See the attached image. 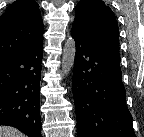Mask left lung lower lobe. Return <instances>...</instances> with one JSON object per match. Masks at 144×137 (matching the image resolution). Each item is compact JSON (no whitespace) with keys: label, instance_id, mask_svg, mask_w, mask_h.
Returning a JSON list of instances; mask_svg holds the SVG:
<instances>
[{"label":"left lung lower lobe","instance_id":"1","mask_svg":"<svg viewBox=\"0 0 144 137\" xmlns=\"http://www.w3.org/2000/svg\"><path fill=\"white\" fill-rule=\"evenodd\" d=\"M76 42L72 90L79 137H136L126 106L120 54L72 30Z\"/></svg>","mask_w":144,"mask_h":137}]
</instances>
